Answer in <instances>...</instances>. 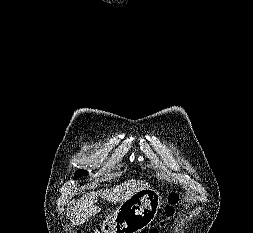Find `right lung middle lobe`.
I'll list each match as a JSON object with an SVG mask.
<instances>
[{
	"label": "right lung middle lobe",
	"mask_w": 253,
	"mask_h": 233,
	"mask_svg": "<svg viewBox=\"0 0 253 233\" xmlns=\"http://www.w3.org/2000/svg\"><path fill=\"white\" fill-rule=\"evenodd\" d=\"M88 172L85 171V170H78L75 174V177H81V176H84V175H87Z\"/></svg>",
	"instance_id": "dd1d6c3e"
}]
</instances>
